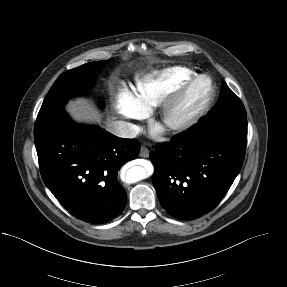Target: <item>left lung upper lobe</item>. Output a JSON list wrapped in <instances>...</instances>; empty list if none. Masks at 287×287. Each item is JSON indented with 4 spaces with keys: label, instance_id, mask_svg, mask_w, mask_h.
Masks as SVG:
<instances>
[{
    "label": "left lung upper lobe",
    "instance_id": "1",
    "mask_svg": "<svg viewBox=\"0 0 287 287\" xmlns=\"http://www.w3.org/2000/svg\"><path fill=\"white\" fill-rule=\"evenodd\" d=\"M200 121L210 129L247 136V117L242 101L225 82L215 107Z\"/></svg>",
    "mask_w": 287,
    "mask_h": 287
}]
</instances>
